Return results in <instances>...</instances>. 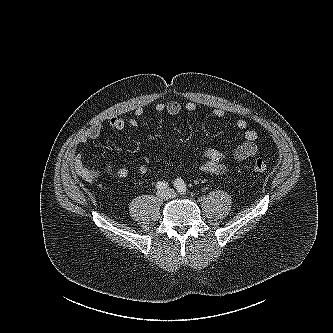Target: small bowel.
I'll use <instances>...</instances> for the list:
<instances>
[{"label":"small bowel","mask_w":333,"mask_h":333,"mask_svg":"<svg viewBox=\"0 0 333 333\" xmlns=\"http://www.w3.org/2000/svg\"><path fill=\"white\" fill-rule=\"evenodd\" d=\"M155 110L158 113H167L171 116L179 115L183 110L188 113H193L196 110V104L193 102H187L182 105L176 100H170L168 102H158L155 105ZM144 111L142 108L135 110L136 117H141ZM216 118H223L225 115L224 110L216 108L212 112ZM138 121L135 118L124 120L119 117H112L105 122H99L89 127L82 137L80 142L87 144L97 140L105 128H109L115 131H122L126 127H137ZM237 129L242 131L244 141L234 150L233 159L236 162H243L250 157L256 155L258 148L256 140L258 137L257 132L254 129L248 128V123L245 119L239 118L235 121ZM202 161L196 164V169L204 174L209 175H224L229 171V167L225 162L227 154L218 149H206L201 153ZM150 162L148 157L144 158V162L134 167L135 171L141 175H144L148 171V163ZM71 172L75 175L81 176L84 179L94 181L97 180L102 173L119 178L125 179L131 173L130 167H122L118 170H114L110 164H106L102 170L87 168L82 161L81 155H75L70 161Z\"/></svg>","instance_id":"1"}]
</instances>
